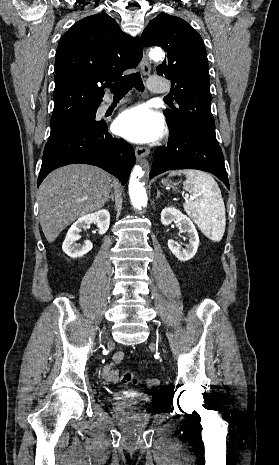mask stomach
Segmentation results:
<instances>
[{"label":"stomach","instance_id":"0dacf381","mask_svg":"<svg viewBox=\"0 0 279 465\" xmlns=\"http://www.w3.org/2000/svg\"><path fill=\"white\" fill-rule=\"evenodd\" d=\"M162 183H163L164 185H169V184H170V182H169L168 180H163ZM174 185H175V184H174Z\"/></svg>","mask_w":279,"mask_h":465}]
</instances>
